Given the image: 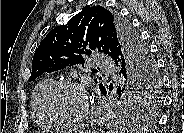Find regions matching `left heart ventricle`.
Segmentation results:
<instances>
[{"mask_svg":"<svg viewBox=\"0 0 184 133\" xmlns=\"http://www.w3.org/2000/svg\"><path fill=\"white\" fill-rule=\"evenodd\" d=\"M51 107L58 117L74 119L84 112L86 100L80 90L64 87L54 93L51 100Z\"/></svg>","mask_w":184,"mask_h":133,"instance_id":"obj_1","label":"left heart ventricle"}]
</instances>
